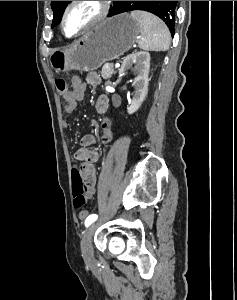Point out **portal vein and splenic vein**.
Returning a JSON list of instances; mask_svg holds the SVG:
<instances>
[{
    "instance_id": "1",
    "label": "portal vein and splenic vein",
    "mask_w": 237,
    "mask_h": 300,
    "mask_svg": "<svg viewBox=\"0 0 237 300\" xmlns=\"http://www.w3.org/2000/svg\"><path fill=\"white\" fill-rule=\"evenodd\" d=\"M109 64H110V65H109L108 67L111 69V68L113 67V66L111 65L112 63L110 62Z\"/></svg>"
}]
</instances>
